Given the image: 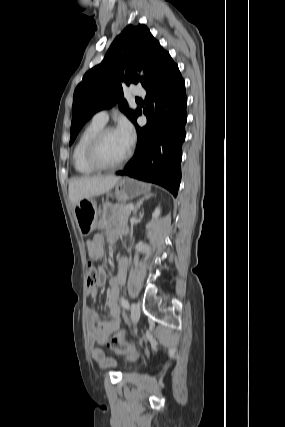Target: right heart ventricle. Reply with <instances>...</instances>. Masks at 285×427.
<instances>
[{"instance_id": "1", "label": "right heart ventricle", "mask_w": 285, "mask_h": 427, "mask_svg": "<svg viewBox=\"0 0 285 427\" xmlns=\"http://www.w3.org/2000/svg\"><path fill=\"white\" fill-rule=\"evenodd\" d=\"M104 127L103 123L92 120L81 131L75 146L73 148L72 159L75 170L82 175H91L96 173V169L91 167L85 158V151L89 141Z\"/></svg>"}]
</instances>
